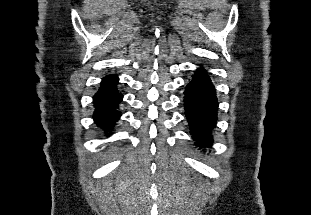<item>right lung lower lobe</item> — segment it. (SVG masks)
I'll list each match as a JSON object with an SVG mask.
<instances>
[{
  "instance_id": "right-lung-lower-lobe-1",
  "label": "right lung lower lobe",
  "mask_w": 311,
  "mask_h": 215,
  "mask_svg": "<svg viewBox=\"0 0 311 215\" xmlns=\"http://www.w3.org/2000/svg\"><path fill=\"white\" fill-rule=\"evenodd\" d=\"M118 78L115 75L104 77L98 92L93 97L94 121L102 129L111 131L120 118L119 104L122 94L117 90Z\"/></svg>"
}]
</instances>
